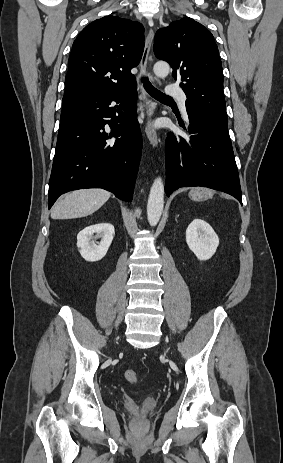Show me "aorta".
<instances>
[{"instance_id":"obj_1","label":"aorta","mask_w":283,"mask_h":463,"mask_svg":"<svg viewBox=\"0 0 283 463\" xmlns=\"http://www.w3.org/2000/svg\"><path fill=\"white\" fill-rule=\"evenodd\" d=\"M169 64L164 61L155 63L153 67L154 74L158 77H165L169 73ZM164 207V184L161 177H157L150 189L147 218L151 226L157 225L163 212Z\"/></svg>"}]
</instances>
